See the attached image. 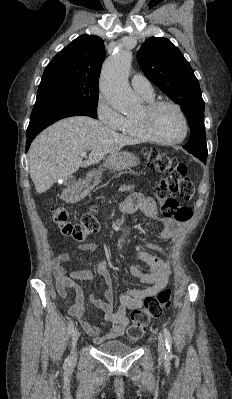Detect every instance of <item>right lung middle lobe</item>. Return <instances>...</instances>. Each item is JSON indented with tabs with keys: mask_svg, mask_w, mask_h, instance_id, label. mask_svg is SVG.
Here are the masks:
<instances>
[{
	"mask_svg": "<svg viewBox=\"0 0 232 399\" xmlns=\"http://www.w3.org/2000/svg\"><path fill=\"white\" fill-rule=\"evenodd\" d=\"M98 86L75 83L66 79L41 80L37 96L60 99L97 114Z\"/></svg>",
	"mask_w": 232,
	"mask_h": 399,
	"instance_id": "right-lung-middle-lobe-1",
	"label": "right lung middle lobe"
}]
</instances>
